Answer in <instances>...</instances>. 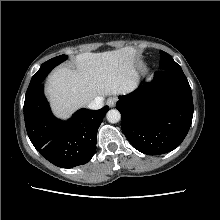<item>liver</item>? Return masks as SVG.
Segmentation results:
<instances>
[{
    "label": "liver",
    "mask_w": 220,
    "mask_h": 220,
    "mask_svg": "<svg viewBox=\"0 0 220 220\" xmlns=\"http://www.w3.org/2000/svg\"><path fill=\"white\" fill-rule=\"evenodd\" d=\"M135 56L136 50L132 47L86 52L76 56L75 68L53 71L48 77L46 92L55 115L65 119L97 97L132 91L139 81Z\"/></svg>",
    "instance_id": "obj_1"
}]
</instances>
